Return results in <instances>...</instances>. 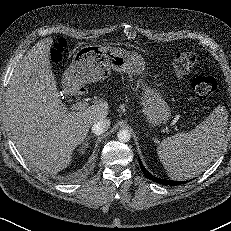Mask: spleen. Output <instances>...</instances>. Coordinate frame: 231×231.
I'll use <instances>...</instances> for the list:
<instances>
[{
	"label": "spleen",
	"instance_id": "obj_1",
	"mask_svg": "<svg viewBox=\"0 0 231 231\" xmlns=\"http://www.w3.org/2000/svg\"><path fill=\"white\" fill-rule=\"evenodd\" d=\"M227 120V110L220 105L190 132L164 139L157 153L169 177L182 181L201 174L224 144Z\"/></svg>",
	"mask_w": 231,
	"mask_h": 231
}]
</instances>
